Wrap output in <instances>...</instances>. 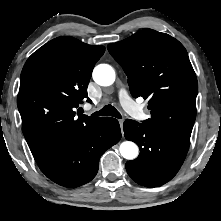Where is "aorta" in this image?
Wrapping results in <instances>:
<instances>
[{
    "mask_svg": "<svg viewBox=\"0 0 221 221\" xmlns=\"http://www.w3.org/2000/svg\"><path fill=\"white\" fill-rule=\"evenodd\" d=\"M115 71L108 64H100L93 70L94 81L101 86H110L115 81ZM122 157L128 160H133L138 156V146L132 141H124L119 147Z\"/></svg>",
    "mask_w": 221,
    "mask_h": 221,
    "instance_id": "762f6f07",
    "label": "aorta"
}]
</instances>
